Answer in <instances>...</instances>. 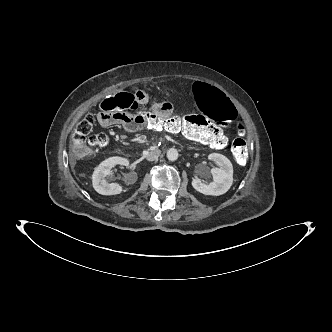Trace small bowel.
I'll return each mask as SVG.
<instances>
[{
    "instance_id": "small-bowel-1",
    "label": "small bowel",
    "mask_w": 332,
    "mask_h": 332,
    "mask_svg": "<svg viewBox=\"0 0 332 332\" xmlns=\"http://www.w3.org/2000/svg\"><path fill=\"white\" fill-rule=\"evenodd\" d=\"M136 97L139 106H144L149 102V96L144 91H137ZM150 109L154 111L155 115L158 114L160 117H167L173 112V106L169 102H155ZM96 118L101 126L107 127L118 124L128 133H137L146 129L144 124H141V115L136 112L99 110L96 113Z\"/></svg>"
}]
</instances>
